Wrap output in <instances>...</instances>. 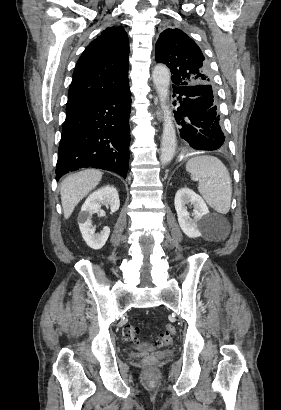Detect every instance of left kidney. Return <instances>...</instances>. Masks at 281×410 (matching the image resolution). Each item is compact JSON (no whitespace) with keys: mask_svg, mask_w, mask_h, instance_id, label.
<instances>
[{"mask_svg":"<svg viewBox=\"0 0 281 410\" xmlns=\"http://www.w3.org/2000/svg\"><path fill=\"white\" fill-rule=\"evenodd\" d=\"M191 203L194 207L190 217L186 205ZM175 209L181 230L190 238H197L210 223L209 210L201 196L193 190L184 187L177 191L174 199Z\"/></svg>","mask_w":281,"mask_h":410,"instance_id":"1","label":"left kidney"}]
</instances>
